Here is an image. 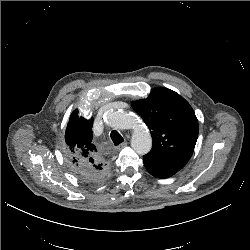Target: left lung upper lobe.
Here are the masks:
<instances>
[{"mask_svg": "<svg viewBox=\"0 0 250 250\" xmlns=\"http://www.w3.org/2000/svg\"><path fill=\"white\" fill-rule=\"evenodd\" d=\"M151 130V151L143 160L178 172L192 156L198 137V120L190 104L176 92L154 88L147 99L132 103Z\"/></svg>", "mask_w": 250, "mask_h": 250, "instance_id": "5c2ea615", "label": "left lung upper lobe"}]
</instances>
